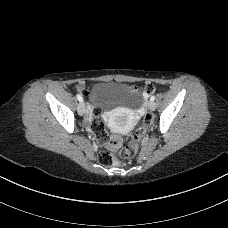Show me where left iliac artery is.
<instances>
[{"instance_id":"44dca946","label":"left iliac artery","mask_w":228,"mask_h":228,"mask_svg":"<svg viewBox=\"0 0 228 228\" xmlns=\"http://www.w3.org/2000/svg\"><path fill=\"white\" fill-rule=\"evenodd\" d=\"M151 101H154L155 100V96L152 95L151 98H150Z\"/></svg>"}]
</instances>
